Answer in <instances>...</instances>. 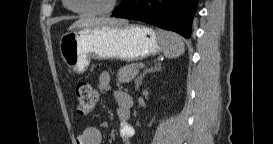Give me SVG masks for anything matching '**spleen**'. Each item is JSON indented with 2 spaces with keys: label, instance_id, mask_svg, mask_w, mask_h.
<instances>
[{
  "label": "spleen",
  "instance_id": "1",
  "mask_svg": "<svg viewBox=\"0 0 273 144\" xmlns=\"http://www.w3.org/2000/svg\"><path fill=\"white\" fill-rule=\"evenodd\" d=\"M157 33L163 45V54L168 58H176L185 51L182 38L171 31L158 29Z\"/></svg>",
  "mask_w": 273,
  "mask_h": 144
}]
</instances>
